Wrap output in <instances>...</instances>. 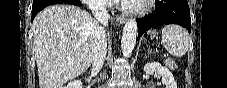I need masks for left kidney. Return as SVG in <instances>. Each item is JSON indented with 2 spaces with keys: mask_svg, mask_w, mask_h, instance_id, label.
Listing matches in <instances>:
<instances>
[{
  "mask_svg": "<svg viewBox=\"0 0 227 88\" xmlns=\"http://www.w3.org/2000/svg\"><path fill=\"white\" fill-rule=\"evenodd\" d=\"M144 71L148 75L158 73L162 77V83L165 85L166 88H177V83L171 71L167 67L162 66L160 63H147L144 66Z\"/></svg>",
  "mask_w": 227,
  "mask_h": 88,
  "instance_id": "5707ae66",
  "label": "left kidney"
}]
</instances>
